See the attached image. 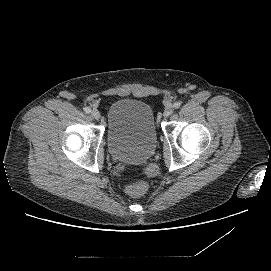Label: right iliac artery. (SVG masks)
<instances>
[{
    "instance_id": "obj_1",
    "label": "right iliac artery",
    "mask_w": 271,
    "mask_h": 271,
    "mask_svg": "<svg viewBox=\"0 0 271 271\" xmlns=\"http://www.w3.org/2000/svg\"><path fill=\"white\" fill-rule=\"evenodd\" d=\"M84 112L87 113V114H89L91 112V109L89 107H85L84 108Z\"/></svg>"
}]
</instances>
